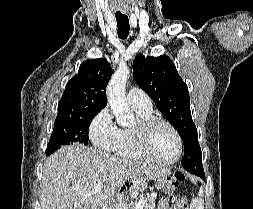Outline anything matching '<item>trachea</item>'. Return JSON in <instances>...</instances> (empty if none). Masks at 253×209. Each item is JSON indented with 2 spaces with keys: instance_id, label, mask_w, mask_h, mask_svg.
Listing matches in <instances>:
<instances>
[{
  "instance_id": "trachea-1",
  "label": "trachea",
  "mask_w": 253,
  "mask_h": 209,
  "mask_svg": "<svg viewBox=\"0 0 253 209\" xmlns=\"http://www.w3.org/2000/svg\"><path fill=\"white\" fill-rule=\"evenodd\" d=\"M118 37L120 39H126L129 35V19L126 15H116Z\"/></svg>"
}]
</instances>
